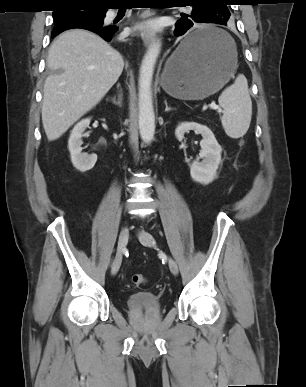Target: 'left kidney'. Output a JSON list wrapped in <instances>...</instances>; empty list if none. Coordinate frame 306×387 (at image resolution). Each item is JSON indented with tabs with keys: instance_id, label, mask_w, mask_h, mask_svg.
I'll return each instance as SVG.
<instances>
[{
	"instance_id": "obj_1",
	"label": "left kidney",
	"mask_w": 306,
	"mask_h": 387,
	"mask_svg": "<svg viewBox=\"0 0 306 387\" xmlns=\"http://www.w3.org/2000/svg\"><path fill=\"white\" fill-rule=\"evenodd\" d=\"M193 130L201 134L200 141L201 150L199 153L202 161L196 160L190 164V175L193 180L208 184L213 181L216 176L217 169L221 162L222 148L218 144L212 131L205 125L196 122H184L178 125L175 130V136L178 141H182L185 133Z\"/></svg>"
}]
</instances>
